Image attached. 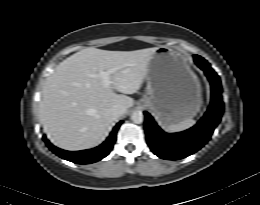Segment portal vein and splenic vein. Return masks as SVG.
<instances>
[{"label":"portal vein and splenic vein","instance_id":"portal-vein-and-splenic-vein-1","mask_svg":"<svg viewBox=\"0 0 260 205\" xmlns=\"http://www.w3.org/2000/svg\"><path fill=\"white\" fill-rule=\"evenodd\" d=\"M115 70H109V71H100L98 76L102 79L103 83L105 86H109L111 84L110 80V75L114 72Z\"/></svg>","mask_w":260,"mask_h":205}]
</instances>
